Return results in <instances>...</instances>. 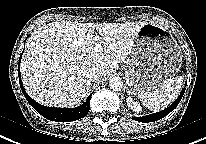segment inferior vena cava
<instances>
[{"mask_svg": "<svg viewBox=\"0 0 206 144\" xmlns=\"http://www.w3.org/2000/svg\"><path fill=\"white\" fill-rule=\"evenodd\" d=\"M101 72L99 69L96 68H91L88 70L87 73V78L90 82H96L99 81V79L101 78Z\"/></svg>", "mask_w": 206, "mask_h": 144, "instance_id": "inferior-vena-cava-1", "label": "inferior vena cava"}]
</instances>
